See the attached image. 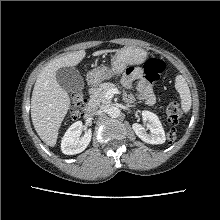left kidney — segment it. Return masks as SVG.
<instances>
[{
	"instance_id": "5707ae66",
	"label": "left kidney",
	"mask_w": 220,
	"mask_h": 220,
	"mask_svg": "<svg viewBox=\"0 0 220 220\" xmlns=\"http://www.w3.org/2000/svg\"><path fill=\"white\" fill-rule=\"evenodd\" d=\"M142 118L147 122L148 134L142 125L134 123L132 128L136 135L145 143L163 144L166 140L165 132L158 116L150 111H142Z\"/></svg>"
}]
</instances>
